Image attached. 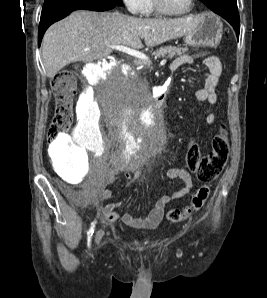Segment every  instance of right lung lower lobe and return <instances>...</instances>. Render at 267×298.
<instances>
[{"label":"right lung lower lobe","mask_w":267,"mask_h":298,"mask_svg":"<svg viewBox=\"0 0 267 298\" xmlns=\"http://www.w3.org/2000/svg\"><path fill=\"white\" fill-rule=\"evenodd\" d=\"M116 7L115 3L101 0H58L47 8L42 9L38 31V45L47 28L54 22L66 17L74 10L85 9L93 11H105Z\"/></svg>","instance_id":"98d812e1"}]
</instances>
